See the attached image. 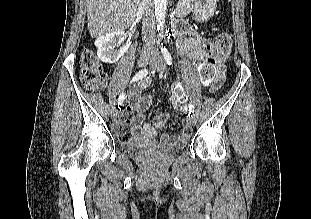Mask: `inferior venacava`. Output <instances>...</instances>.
<instances>
[{"instance_id": "obj_1", "label": "inferior vena cava", "mask_w": 311, "mask_h": 219, "mask_svg": "<svg viewBox=\"0 0 311 219\" xmlns=\"http://www.w3.org/2000/svg\"><path fill=\"white\" fill-rule=\"evenodd\" d=\"M144 6V16L142 23V34L144 50H152L154 46L153 28H154V10L151 0H141Z\"/></svg>"}]
</instances>
